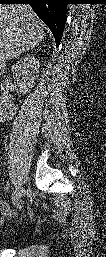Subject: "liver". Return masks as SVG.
<instances>
[{"label":"liver","instance_id":"liver-1","mask_svg":"<svg viewBox=\"0 0 106 257\" xmlns=\"http://www.w3.org/2000/svg\"><path fill=\"white\" fill-rule=\"evenodd\" d=\"M44 36V25L29 5L0 7L1 62L33 49Z\"/></svg>","mask_w":106,"mask_h":257}]
</instances>
